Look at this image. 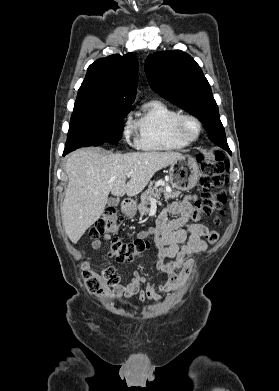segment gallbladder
<instances>
[{"mask_svg":"<svg viewBox=\"0 0 279 391\" xmlns=\"http://www.w3.org/2000/svg\"><path fill=\"white\" fill-rule=\"evenodd\" d=\"M107 204L109 205V206H118V204H119V199H116V198H110V199H108V201H107Z\"/></svg>","mask_w":279,"mask_h":391,"instance_id":"bac80fb5","label":"gallbladder"}]
</instances>
